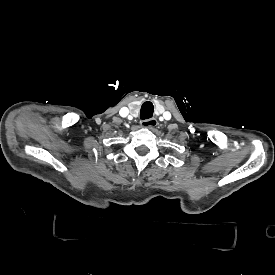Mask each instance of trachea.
I'll return each mask as SVG.
<instances>
[{"instance_id":"1","label":"trachea","mask_w":275,"mask_h":275,"mask_svg":"<svg viewBox=\"0 0 275 275\" xmlns=\"http://www.w3.org/2000/svg\"><path fill=\"white\" fill-rule=\"evenodd\" d=\"M154 112V106L151 102H145L141 106L140 110V119L145 120V119H150L153 116Z\"/></svg>"}]
</instances>
